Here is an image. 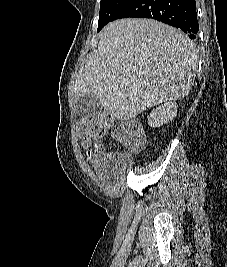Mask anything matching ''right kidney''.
Wrapping results in <instances>:
<instances>
[{"label":"right kidney","mask_w":227,"mask_h":267,"mask_svg":"<svg viewBox=\"0 0 227 267\" xmlns=\"http://www.w3.org/2000/svg\"><path fill=\"white\" fill-rule=\"evenodd\" d=\"M177 104L173 102H166L154 109L148 118L150 127H159L168 121H172L177 115Z\"/></svg>","instance_id":"1"}]
</instances>
